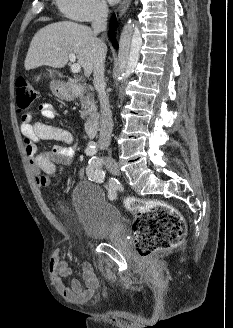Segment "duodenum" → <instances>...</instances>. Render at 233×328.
<instances>
[{"instance_id":"obj_1","label":"duodenum","mask_w":233,"mask_h":328,"mask_svg":"<svg viewBox=\"0 0 233 328\" xmlns=\"http://www.w3.org/2000/svg\"><path fill=\"white\" fill-rule=\"evenodd\" d=\"M84 87L77 83H71L67 89L69 96L78 95L83 91ZM86 129L90 136H94L98 130V120L95 116L88 118L86 122Z\"/></svg>"}]
</instances>
